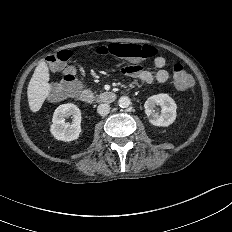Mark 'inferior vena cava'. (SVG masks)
I'll return each mask as SVG.
<instances>
[{"label": "inferior vena cava", "instance_id": "inferior-vena-cava-1", "mask_svg": "<svg viewBox=\"0 0 232 232\" xmlns=\"http://www.w3.org/2000/svg\"><path fill=\"white\" fill-rule=\"evenodd\" d=\"M97 112L100 115H107L110 112V106L108 104H100L97 107Z\"/></svg>", "mask_w": 232, "mask_h": 232}]
</instances>
